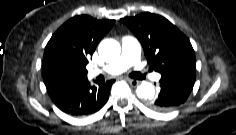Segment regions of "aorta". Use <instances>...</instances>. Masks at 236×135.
Listing matches in <instances>:
<instances>
[{
	"mask_svg": "<svg viewBox=\"0 0 236 135\" xmlns=\"http://www.w3.org/2000/svg\"><path fill=\"white\" fill-rule=\"evenodd\" d=\"M100 57L106 62H114L118 59L121 47L114 39L102 40L98 47ZM137 96L142 99L151 100L154 98L155 89L149 82H142L136 89Z\"/></svg>",
	"mask_w": 236,
	"mask_h": 135,
	"instance_id": "obj_1",
	"label": "aorta"
}]
</instances>
